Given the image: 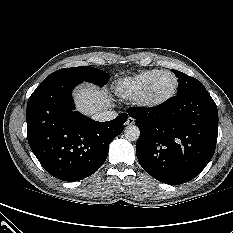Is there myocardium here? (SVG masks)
Returning a JSON list of instances; mask_svg holds the SVG:
<instances>
[{
  "instance_id": "1",
  "label": "myocardium",
  "mask_w": 233,
  "mask_h": 233,
  "mask_svg": "<svg viewBox=\"0 0 233 233\" xmlns=\"http://www.w3.org/2000/svg\"><path fill=\"white\" fill-rule=\"evenodd\" d=\"M163 74H169L174 78V81H175L174 87L168 95L162 98H152L150 95L151 89L154 83L156 82V80ZM178 90H179V79L177 75L170 70H161L149 81V83L147 84V86L145 87L141 95L138 97V103L142 107H145L148 109L159 108L165 105L166 103H168L169 101H171L178 93Z\"/></svg>"
}]
</instances>
